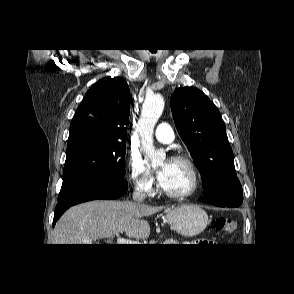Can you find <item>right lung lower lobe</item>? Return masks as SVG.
I'll list each match as a JSON object with an SVG mask.
<instances>
[{
  "label": "right lung lower lobe",
  "instance_id": "98d812e1",
  "mask_svg": "<svg viewBox=\"0 0 294 294\" xmlns=\"http://www.w3.org/2000/svg\"><path fill=\"white\" fill-rule=\"evenodd\" d=\"M127 188V182L124 180L103 178H81L62 186L55 208L53 226L69 207L95 199H116L124 195Z\"/></svg>",
  "mask_w": 294,
  "mask_h": 294
}]
</instances>
